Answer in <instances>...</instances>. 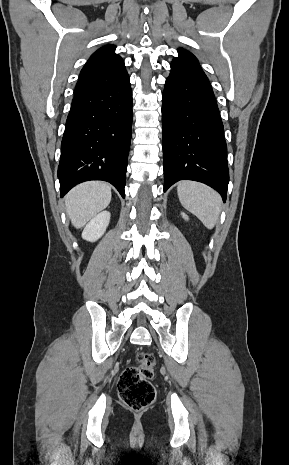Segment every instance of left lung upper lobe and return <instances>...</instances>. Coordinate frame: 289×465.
I'll use <instances>...</instances> for the list:
<instances>
[{
  "label": "left lung upper lobe",
  "mask_w": 289,
  "mask_h": 465,
  "mask_svg": "<svg viewBox=\"0 0 289 465\" xmlns=\"http://www.w3.org/2000/svg\"><path fill=\"white\" fill-rule=\"evenodd\" d=\"M177 51L179 56L172 60L171 68L202 71L197 58L192 53L182 48Z\"/></svg>",
  "instance_id": "5c2ea615"
}]
</instances>
